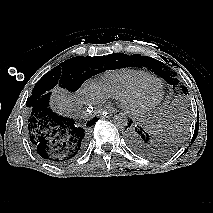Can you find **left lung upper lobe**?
<instances>
[{
	"mask_svg": "<svg viewBox=\"0 0 213 213\" xmlns=\"http://www.w3.org/2000/svg\"><path fill=\"white\" fill-rule=\"evenodd\" d=\"M128 63L126 66L130 67H146L153 71L155 74L162 77L169 84L175 87L179 81L175 78V73L171 72L168 67H164V64L154 58L148 56H141L140 54H134L127 56ZM182 91L184 94H188V89L185 86H182Z\"/></svg>",
	"mask_w": 213,
	"mask_h": 213,
	"instance_id": "left-lung-upper-lobe-1",
	"label": "left lung upper lobe"
}]
</instances>
